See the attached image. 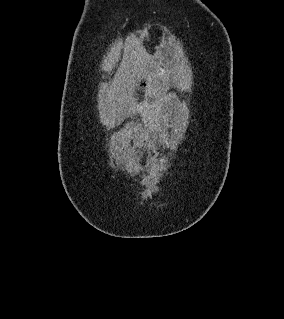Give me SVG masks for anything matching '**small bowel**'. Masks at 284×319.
<instances>
[{"label": "small bowel", "mask_w": 284, "mask_h": 319, "mask_svg": "<svg viewBox=\"0 0 284 319\" xmlns=\"http://www.w3.org/2000/svg\"><path fill=\"white\" fill-rule=\"evenodd\" d=\"M152 117L156 124L163 125L165 123V118L162 112L161 104H157L152 109ZM148 131H151V127H148Z\"/></svg>", "instance_id": "1"}]
</instances>
